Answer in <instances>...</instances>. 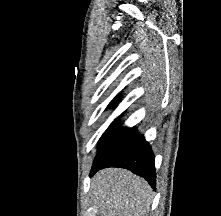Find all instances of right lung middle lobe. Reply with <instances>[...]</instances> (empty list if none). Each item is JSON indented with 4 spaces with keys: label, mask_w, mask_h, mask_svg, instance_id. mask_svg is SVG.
<instances>
[{
    "label": "right lung middle lobe",
    "mask_w": 221,
    "mask_h": 216,
    "mask_svg": "<svg viewBox=\"0 0 221 216\" xmlns=\"http://www.w3.org/2000/svg\"><path fill=\"white\" fill-rule=\"evenodd\" d=\"M117 123L118 119L114 120L100 138L101 143L93 165L104 164L142 137L134 128L120 127L116 129Z\"/></svg>",
    "instance_id": "1"
}]
</instances>
